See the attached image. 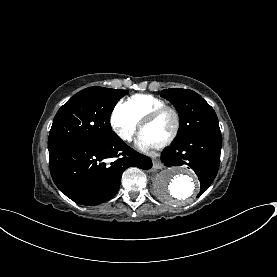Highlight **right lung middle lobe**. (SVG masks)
<instances>
[{"label": "right lung middle lobe", "instance_id": "obj_1", "mask_svg": "<svg viewBox=\"0 0 277 277\" xmlns=\"http://www.w3.org/2000/svg\"><path fill=\"white\" fill-rule=\"evenodd\" d=\"M126 90L89 87L74 95L54 117L49 133V151L62 146L100 142L116 136L110 115Z\"/></svg>", "mask_w": 277, "mask_h": 277}]
</instances>
